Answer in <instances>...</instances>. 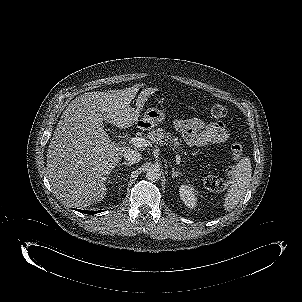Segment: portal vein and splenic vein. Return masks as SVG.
Returning a JSON list of instances; mask_svg holds the SVG:
<instances>
[{"label": "portal vein and splenic vein", "instance_id": "portal-vein-and-splenic-vein-1", "mask_svg": "<svg viewBox=\"0 0 302 302\" xmlns=\"http://www.w3.org/2000/svg\"><path fill=\"white\" fill-rule=\"evenodd\" d=\"M130 143L137 147H146L149 145V141L142 137H132L130 138ZM178 157V155H177ZM178 160V158H177Z\"/></svg>", "mask_w": 302, "mask_h": 302}]
</instances>
